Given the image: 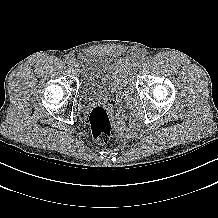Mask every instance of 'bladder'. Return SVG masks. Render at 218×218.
Instances as JSON below:
<instances>
[{
	"mask_svg": "<svg viewBox=\"0 0 218 218\" xmlns=\"http://www.w3.org/2000/svg\"><path fill=\"white\" fill-rule=\"evenodd\" d=\"M81 78L80 94L84 101L107 99L121 94L132 82V59L112 57L92 52L78 60Z\"/></svg>",
	"mask_w": 218,
	"mask_h": 218,
	"instance_id": "bladder-1",
	"label": "bladder"
}]
</instances>
